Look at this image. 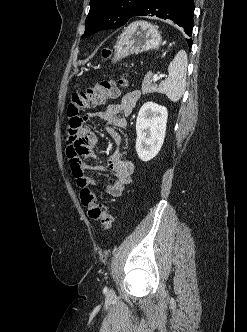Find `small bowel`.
Returning <instances> with one entry per match:
<instances>
[{"mask_svg": "<svg viewBox=\"0 0 247 332\" xmlns=\"http://www.w3.org/2000/svg\"><path fill=\"white\" fill-rule=\"evenodd\" d=\"M138 93L126 94L120 102L106 106L102 111L90 112L85 115L82 128L75 134H69L66 155L70 164L72 175L76 184L82 190L90 185L99 186L106 194L119 196L125 186L130 183L135 167L132 161L126 159L119 148H117L107 159V165H89L85 159L95 158L103 161V157L94 151L97 142L95 133L85 124L87 121L100 119L105 122V130L116 145H120L121 136L116 127H125L126 120L120 115L128 116L135 107ZM112 173V178L107 182H100L92 178L90 172H104L106 169Z\"/></svg>", "mask_w": 247, "mask_h": 332, "instance_id": "obj_1", "label": "small bowel"}]
</instances>
